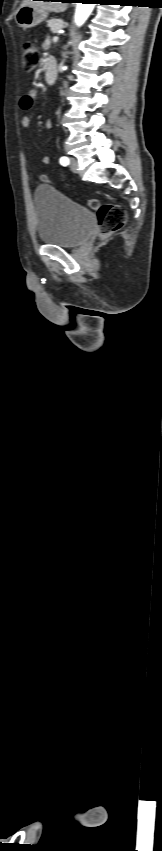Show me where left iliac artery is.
<instances>
[{
    "label": "left iliac artery",
    "instance_id": "44dca946",
    "mask_svg": "<svg viewBox=\"0 0 162 851\" xmlns=\"http://www.w3.org/2000/svg\"><path fill=\"white\" fill-rule=\"evenodd\" d=\"M60 164H61V165H63V166L68 165V164H69V159H68L67 157H61V158H60Z\"/></svg>",
    "mask_w": 162,
    "mask_h": 851
}]
</instances>
